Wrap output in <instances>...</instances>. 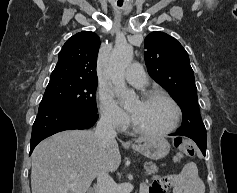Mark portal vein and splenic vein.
Segmentation results:
<instances>
[{
  "mask_svg": "<svg viewBox=\"0 0 237 193\" xmlns=\"http://www.w3.org/2000/svg\"><path fill=\"white\" fill-rule=\"evenodd\" d=\"M77 173H72V176H76Z\"/></svg>",
  "mask_w": 237,
  "mask_h": 193,
  "instance_id": "18ae733b",
  "label": "portal vein and splenic vein"
}]
</instances>
